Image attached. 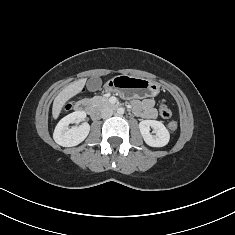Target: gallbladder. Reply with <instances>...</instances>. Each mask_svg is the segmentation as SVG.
<instances>
[{"instance_id": "gallbladder-1", "label": "gallbladder", "mask_w": 235, "mask_h": 235, "mask_svg": "<svg viewBox=\"0 0 235 235\" xmlns=\"http://www.w3.org/2000/svg\"><path fill=\"white\" fill-rule=\"evenodd\" d=\"M102 85V80L98 77L90 78L87 82V88L89 91H96Z\"/></svg>"}]
</instances>
